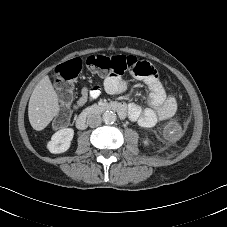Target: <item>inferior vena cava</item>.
<instances>
[{
	"label": "inferior vena cava",
	"instance_id": "inferior-vena-cava-1",
	"mask_svg": "<svg viewBox=\"0 0 227 227\" xmlns=\"http://www.w3.org/2000/svg\"><path fill=\"white\" fill-rule=\"evenodd\" d=\"M88 121H89V126L92 128H95L102 123V118L100 115H92Z\"/></svg>",
	"mask_w": 227,
	"mask_h": 227
}]
</instances>
